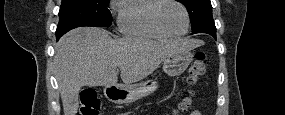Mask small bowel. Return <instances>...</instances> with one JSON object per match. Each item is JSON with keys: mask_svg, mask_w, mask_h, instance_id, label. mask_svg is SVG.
Masks as SVG:
<instances>
[{"mask_svg": "<svg viewBox=\"0 0 285 115\" xmlns=\"http://www.w3.org/2000/svg\"><path fill=\"white\" fill-rule=\"evenodd\" d=\"M191 115H201V112L199 110H195L191 113Z\"/></svg>", "mask_w": 285, "mask_h": 115, "instance_id": "1", "label": "small bowel"}]
</instances>
